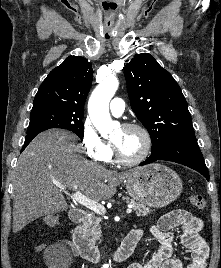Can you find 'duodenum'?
<instances>
[{"label":"duodenum","mask_w":221,"mask_h":268,"mask_svg":"<svg viewBox=\"0 0 221 268\" xmlns=\"http://www.w3.org/2000/svg\"><path fill=\"white\" fill-rule=\"evenodd\" d=\"M71 220L76 224L73 230L72 240L77 253L85 260L90 262H98L102 258L101 250L95 246L86 237L83 226L88 218V214L84 210L76 209L70 214ZM141 236L136 229L131 230L123 239L120 246L112 252V258L115 262H123L135 250Z\"/></svg>","instance_id":"1"}]
</instances>
